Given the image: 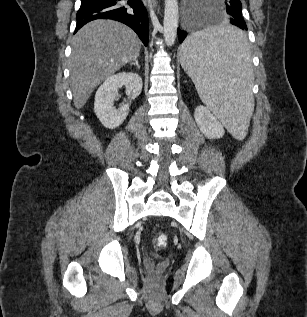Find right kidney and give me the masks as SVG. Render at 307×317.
<instances>
[{
    "label": "right kidney",
    "mask_w": 307,
    "mask_h": 317,
    "mask_svg": "<svg viewBox=\"0 0 307 317\" xmlns=\"http://www.w3.org/2000/svg\"><path fill=\"white\" fill-rule=\"evenodd\" d=\"M125 86L130 93V98L135 99L142 90V78L132 72H121L107 78L95 94L94 112L100 122L109 129L120 126L129 113V103L113 107L114 97L118 90Z\"/></svg>",
    "instance_id": "right-kidney-1"
}]
</instances>
